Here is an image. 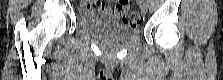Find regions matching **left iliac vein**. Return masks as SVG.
Here are the masks:
<instances>
[{"label": "left iliac vein", "instance_id": "4c4485c4", "mask_svg": "<svg viewBox=\"0 0 223 80\" xmlns=\"http://www.w3.org/2000/svg\"><path fill=\"white\" fill-rule=\"evenodd\" d=\"M140 9H141L142 13H144V14L147 12L148 7H147L146 2H142L140 4Z\"/></svg>", "mask_w": 223, "mask_h": 80}]
</instances>
